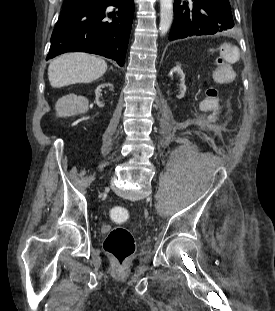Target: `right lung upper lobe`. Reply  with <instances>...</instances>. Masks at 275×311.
<instances>
[{"instance_id":"obj_1","label":"right lung upper lobe","mask_w":275,"mask_h":311,"mask_svg":"<svg viewBox=\"0 0 275 311\" xmlns=\"http://www.w3.org/2000/svg\"><path fill=\"white\" fill-rule=\"evenodd\" d=\"M78 1H81V0H65L64 3H77Z\"/></svg>"}]
</instances>
